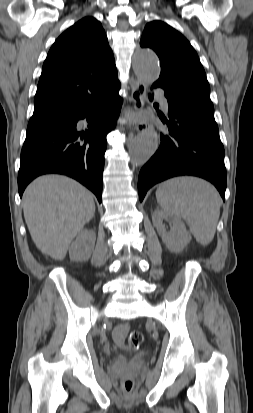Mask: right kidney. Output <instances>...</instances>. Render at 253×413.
<instances>
[{
	"mask_svg": "<svg viewBox=\"0 0 253 413\" xmlns=\"http://www.w3.org/2000/svg\"><path fill=\"white\" fill-rule=\"evenodd\" d=\"M96 234L94 230H82L69 247V257L72 261H87L95 246Z\"/></svg>",
	"mask_w": 253,
	"mask_h": 413,
	"instance_id": "right-kidney-1",
	"label": "right kidney"
}]
</instances>
